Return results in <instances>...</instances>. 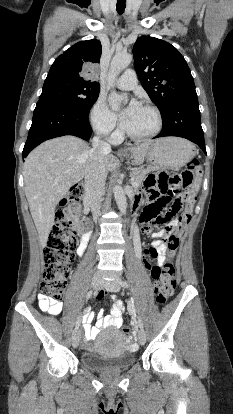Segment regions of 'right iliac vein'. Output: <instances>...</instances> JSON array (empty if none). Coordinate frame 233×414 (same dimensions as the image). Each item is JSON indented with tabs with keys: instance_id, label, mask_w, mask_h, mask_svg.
I'll return each instance as SVG.
<instances>
[{
	"instance_id": "obj_1",
	"label": "right iliac vein",
	"mask_w": 233,
	"mask_h": 414,
	"mask_svg": "<svg viewBox=\"0 0 233 414\" xmlns=\"http://www.w3.org/2000/svg\"><path fill=\"white\" fill-rule=\"evenodd\" d=\"M101 283H102V281H101L100 274L99 273H95L93 275L92 281H91L92 287L95 288V289H99L100 286H101ZM71 341H72L73 347L77 348L78 345H79V342H80V331L79 330L76 329L72 333Z\"/></svg>"
}]
</instances>
